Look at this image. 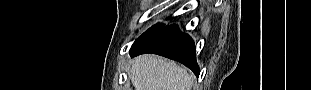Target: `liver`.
Returning <instances> with one entry per match:
<instances>
[{"instance_id": "obj_1", "label": "liver", "mask_w": 311, "mask_h": 90, "mask_svg": "<svg viewBox=\"0 0 311 90\" xmlns=\"http://www.w3.org/2000/svg\"><path fill=\"white\" fill-rule=\"evenodd\" d=\"M130 78L135 90H191L193 84L186 68L155 55L137 57Z\"/></svg>"}]
</instances>
